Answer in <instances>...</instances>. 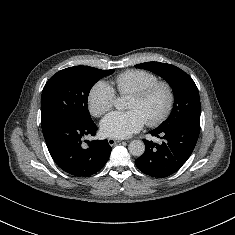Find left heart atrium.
<instances>
[{
    "mask_svg": "<svg viewBox=\"0 0 235 235\" xmlns=\"http://www.w3.org/2000/svg\"><path fill=\"white\" fill-rule=\"evenodd\" d=\"M146 122L139 110L115 111L101 121V131L105 136L123 139L138 132Z\"/></svg>",
    "mask_w": 235,
    "mask_h": 235,
    "instance_id": "left-heart-atrium-1",
    "label": "left heart atrium"
}]
</instances>
